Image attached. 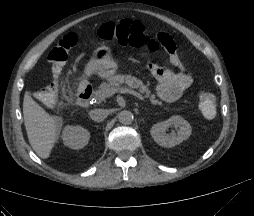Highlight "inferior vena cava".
<instances>
[{"label":"inferior vena cava","mask_w":254,"mask_h":216,"mask_svg":"<svg viewBox=\"0 0 254 216\" xmlns=\"http://www.w3.org/2000/svg\"><path fill=\"white\" fill-rule=\"evenodd\" d=\"M91 119L95 122H102L107 118L108 112L104 109H94L89 112Z\"/></svg>","instance_id":"1"}]
</instances>
